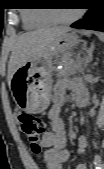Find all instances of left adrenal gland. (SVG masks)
Listing matches in <instances>:
<instances>
[{
	"instance_id": "1",
	"label": "left adrenal gland",
	"mask_w": 104,
	"mask_h": 169,
	"mask_svg": "<svg viewBox=\"0 0 104 169\" xmlns=\"http://www.w3.org/2000/svg\"><path fill=\"white\" fill-rule=\"evenodd\" d=\"M93 49H94V44L91 45L90 48H87L86 45H84L83 50H85L86 54L84 56V62L85 63H90L93 59Z\"/></svg>"
}]
</instances>
